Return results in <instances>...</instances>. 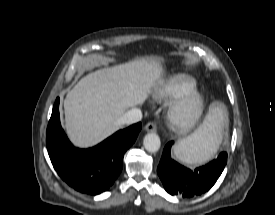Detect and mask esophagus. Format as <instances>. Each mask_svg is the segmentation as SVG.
Wrapping results in <instances>:
<instances>
[{"label": "esophagus", "instance_id": "1", "mask_svg": "<svg viewBox=\"0 0 275 215\" xmlns=\"http://www.w3.org/2000/svg\"><path fill=\"white\" fill-rule=\"evenodd\" d=\"M145 131L147 132H156L157 130V127H156V124L153 123V122H149L145 125Z\"/></svg>", "mask_w": 275, "mask_h": 215}]
</instances>
